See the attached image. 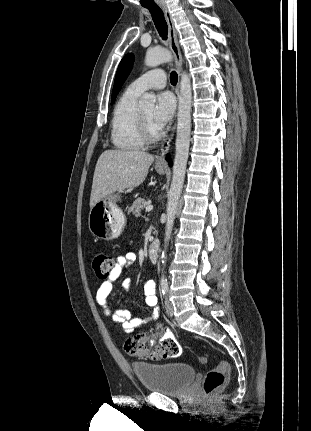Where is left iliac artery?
I'll list each match as a JSON object with an SVG mask.
<instances>
[{"label":"left iliac artery","instance_id":"obj_1","mask_svg":"<svg viewBox=\"0 0 311 431\" xmlns=\"http://www.w3.org/2000/svg\"><path fill=\"white\" fill-rule=\"evenodd\" d=\"M161 291L163 293V295H166L168 293V283L167 282H162L161 283Z\"/></svg>","mask_w":311,"mask_h":431}]
</instances>
